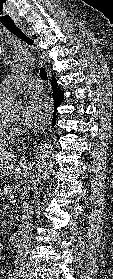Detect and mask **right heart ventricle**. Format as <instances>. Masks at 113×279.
I'll list each match as a JSON object with an SVG mask.
<instances>
[{"instance_id":"1","label":"right heart ventricle","mask_w":113,"mask_h":279,"mask_svg":"<svg viewBox=\"0 0 113 279\" xmlns=\"http://www.w3.org/2000/svg\"><path fill=\"white\" fill-rule=\"evenodd\" d=\"M9 96L0 91V147L5 146L13 140L14 131L9 130L3 123L5 107Z\"/></svg>"}]
</instances>
